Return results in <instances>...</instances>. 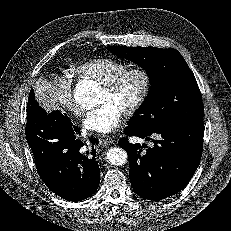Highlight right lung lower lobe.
I'll list each match as a JSON object with an SVG mask.
<instances>
[{
    "instance_id": "98d812e1",
    "label": "right lung lower lobe",
    "mask_w": 231,
    "mask_h": 231,
    "mask_svg": "<svg viewBox=\"0 0 231 231\" xmlns=\"http://www.w3.org/2000/svg\"><path fill=\"white\" fill-rule=\"evenodd\" d=\"M26 139L37 171L46 186L68 201H81L98 188L100 169L92 137L87 145L77 138L80 128L60 111L47 114L31 90L27 105Z\"/></svg>"
}]
</instances>
